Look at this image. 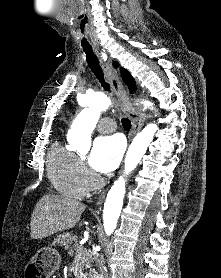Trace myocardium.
<instances>
[{"instance_id":"f54148a6","label":"myocardium","mask_w":221,"mask_h":278,"mask_svg":"<svg viewBox=\"0 0 221 278\" xmlns=\"http://www.w3.org/2000/svg\"><path fill=\"white\" fill-rule=\"evenodd\" d=\"M86 184L89 185L92 188H97L102 185L101 179L95 176H89L86 178Z\"/></svg>"}]
</instances>
